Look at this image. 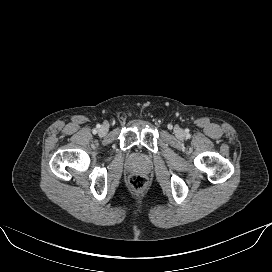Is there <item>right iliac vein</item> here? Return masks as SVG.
<instances>
[{
  "label": "right iliac vein",
  "instance_id": "obj_1",
  "mask_svg": "<svg viewBox=\"0 0 272 272\" xmlns=\"http://www.w3.org/2000/svg\"><path fill=\"white\" fill-rule=\"evenodd\" d=\"M108 132V127L106 125H103L100 129H99V134L104 136L106 135Z\"/></svg>",
  "mask_w": 272,
  "mask_h": 272
}]
</instances>
